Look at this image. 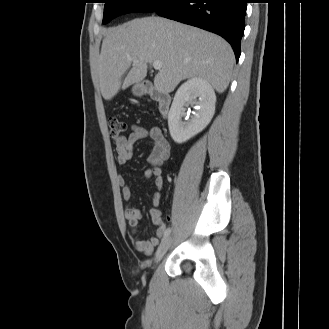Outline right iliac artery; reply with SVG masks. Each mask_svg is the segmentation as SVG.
I'll return each instance as SVG.
<instances>
[{"label": "right iliac artery", "instance_id": "82829eb1", "mask_svg": "<svg viewBox=\"0 0 329 329\" xmlns=\"http://www.w3.org/2000/svg\"><path fill=\"white\" fill-rule=\"evenodd\" d=\"M171 232V229L170 228H167L164 232V235H163V239H165Z\"/></svg>", "mask_w": 329, "mask_h": 329}]
</instances>
